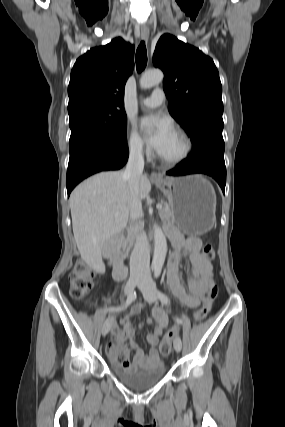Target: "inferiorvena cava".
<instances>
[{
	"label": "inferior vena cava",
	"instance_id": "1",
	"mask_svg": "<svg viewBox=\"0 0 285 427\" xmlns=\"http://www.w3.org/2000/svg\"><path fill=\"white\" fill-rule=\"evenodd\" d=\"M144 169V156L142 146H136L130 150V155L123 178L128 182L132 204L130 218L135 221L142 216V204L138 197L139 179ZM150 263V249L145 232H141L136 237L134 249L130 257V273L132 275H145L148 272Z\"/></svg>",
	"mask_w": 285,
	"mask_h": 427
}]
</instances>
